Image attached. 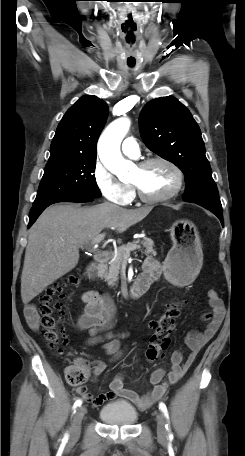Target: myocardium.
<instances>
[{
	"label": "myocardium",
	"instance_id": "f54148a6",
	"mask_svg": "<svg viewBox=\"0 0 245 456\" xmlns=\"http://www.w3.org/2000/svg\"><path fill=\"white\" fill-rule=\"evenodd\" d=\"M154 163H163V164L167 165L169 168H171V170L174 172V174L176 176V183L170 192H168L167 194H164L162 196H149V195L145 194L143 192V190L137 184L132 183L139 199L145 203H151V204L165 202V201L171 200L172 198L176 197L180 193V191L183 187V184H184V174H183L182 170L179 168V166L177 164H175L173 161H171L165 157L157 156V157L147 158V159L141 161L137 167L143 169Z\"/></svg>",
	"mask_w": 245,
	"mask_h": 456
}]
</instances>
